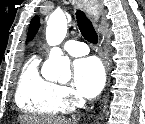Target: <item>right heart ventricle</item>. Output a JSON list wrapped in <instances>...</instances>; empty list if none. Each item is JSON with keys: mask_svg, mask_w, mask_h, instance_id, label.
<instances>
[{"mask_svg": "<svg viewBox=\"0 0 145 124\" xmlns=\"http://www.w3.org/2000/svg\"><path fill=\"white\" fill-rule=\"evenodd\" d=\"M39 63L38 57H32L23 67L17 84L16 103L24 112L54 116L61 112L57 102L58 85L41 75Z\"/></svg>", "mask_w": 145, "mask_h": 124, "instance_id": "obj_1", "label": "right heart ventricle"}]
</instances>
